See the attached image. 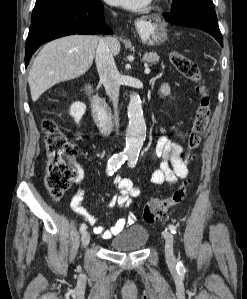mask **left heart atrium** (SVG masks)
Here are the masks:
<instances>
[{
  "instance_id": "39dd6f15",
  "label": "left heart atrium",
  "mask_w": 247,
  "mask_h": 299,
  "mask_svg": "<svg viewBox=\"0 0 247 299\" xmlns=\"http://www.w3.org/2000/svg\"><path fill=\"white\" fill-rule=\"evenodd\" d=\"M111 5L121 6L127 9H140L146 6L151 0H105Z\"/></svg>"
}]
</instances>
